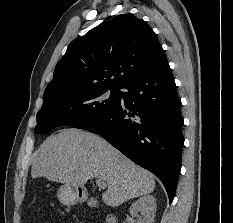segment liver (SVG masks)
Returning a JSON list of instances; mask_svg holds the SVG:
<instances>
[{
	"mask_svg": "<svg viewBox=\"0 0 233 223\" xmlns=\"http://www.w3.org/2000/svg\"><path fill=\"white\" fill-rule=\"evenodd\" d=\"M31 177H46L73 187H84L93 177L104 179L102 201L118 207L131 197L152 193V173L135 165L103 137L76 127L50 135L32 157Z\"/></svg>",
	"mask_w": 233,
	"mask_h": 223,
	"instance_id": "1",
	"label": "liver"
}]
</instances>
